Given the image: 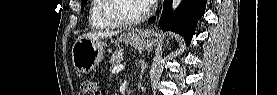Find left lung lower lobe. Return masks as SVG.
<instances>
[{
	"label": "left lung lower lobe",
	"mask_w": 277,
	"mask_h": 95,
	"mask_svg": "<svg viewBox=\"0 0 277 95\" xmlns=\"http://www.w3.org/2000/svg\"><path fill=\"white\" fill-rule=\"evenodd\" d=\"M207 0H182L179 7L172 11V0H164L163 11L159 20L163 31H173L185 38L189 45L195 32L196 24L205 13ZM155 22V17L149 23Z\"/></svg>",
	"instance_id": "left-lung-lower-lobe-1"
}]
</instances>
